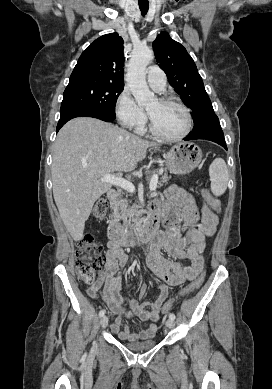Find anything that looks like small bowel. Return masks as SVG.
<instances>
[{
  "instance_id": "c3829d8e",
  "label": "small bowel",
  "mask_w": 272,
  "mask_h": 389,
  "mask_svg": "<svg viewBox=\"0 0 272 389\" xmlns=\"http://www.w3.org/2000/svg\"><path fill=\"white\" fill-rule=\"evenodd\" d=\"M199 201L200 204L194 195L172 185L166 190L165 202H156L152 206V211L163 218L166 228L156 235L147 260L148 268L159 280L160 294L152 303L121 296L125 285L121 282L120 273L127 265L128 257L120 246L108 243L105 265L87 293L92 298L100 295L110 310L121 314L111 325V331L119 339L136 341L153 337L161 307L168 297V287L180 286L203 271L205 239L215 233L218 217L206 199ZM181 223L185 227L184 233L180 230ZM163 250L175 260L165 258ZM181 260H188L190 265L182 264ZM139 288L141 299L146 293V286L140 284ZM124 318H137L147 322V327L132 331L124 323Z\"/></svg>"
}]
</instances>
